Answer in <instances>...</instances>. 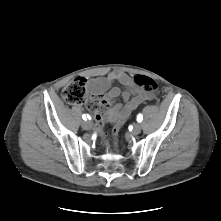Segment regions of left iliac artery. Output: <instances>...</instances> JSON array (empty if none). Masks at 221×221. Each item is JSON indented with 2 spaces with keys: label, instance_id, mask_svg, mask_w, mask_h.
<instances>
[{
  "label": "left iliac artery",
  "instance_id": "1",
  "mask_svg": "<svg viewBox=\"0 0 221 221\" xmlns=\"http://www.w3.org/2000/svg\"><path fill=\"white\" fill-rule=\"evenodd\" d=\"M142 120H143L142 114H138V116H137V121H138V122H141Z\"/></svg>",
  "mask_w": 221,
  "mask_h": 221
}]
</instances>
